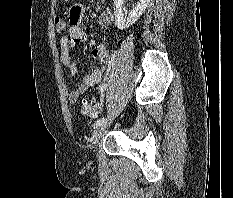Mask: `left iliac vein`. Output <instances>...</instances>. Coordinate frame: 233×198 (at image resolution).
Segmentation results:
<instances>
[{
    "label": "left iliac vein",
    "instance_id": "1",
    "mask_svg": "<svg viewBox=\"0 0 233 198\" xmlns=\"http://www.w3.org/2000/svg\"><path fill=\"white\" fill-rule=\"evenodd\" d=\"M107 127V122H104L103 124H101L100 126L96 127V129L94 130V133L92 135L91 141L94 145H96L100 139V137L102 136L103 132L105 131Z\"/></svg>",
    "mask_w": 233,
    "mask_h": 198
}]
</instances>
